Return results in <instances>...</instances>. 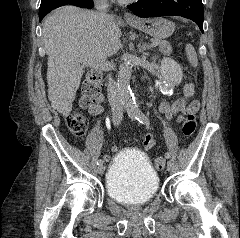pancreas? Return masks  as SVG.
I'll list each match as a JSON object with an SVG mask.
<instances>
[{"instance_id": "1", "label": "pancreas", "mask_w": 240, "mask_h": 238, "mask_svg": "<svg viewBox=\"0 0 240 238\" xmlns=\"http://www.w3.org/2000/svg\"><path fill=\"white\" fill-rule=\"evenodd\" d=\"M156 42L158 43V45L160 47V51L163 54L170 55L172 53V46L170 45V43L168 41L156 40Z\"/></svg>"}]
</instances>
